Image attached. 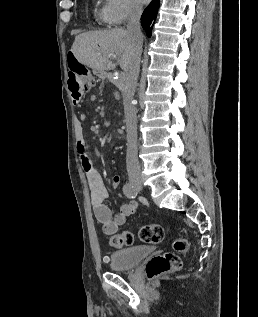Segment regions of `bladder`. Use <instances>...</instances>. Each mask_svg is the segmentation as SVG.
Returning <instances> with one entry per match:
<instances>
[{
	"mask_svg": "<svg viewBox=\"0 0 258 317\" xmlns=\"http://www.w3.org/2000/svg\"><path fill=\"white\" fill-rule=\"evenodd\" d=\"M155 251L154 246L137 245L116 250L109 256L110 266L114 270H129Z\"/></svg>",
	"mask_w": 258,
	"mask_h": 317,
	"instance_id": "1",
	"label": "bladder"
}]
</instances>
